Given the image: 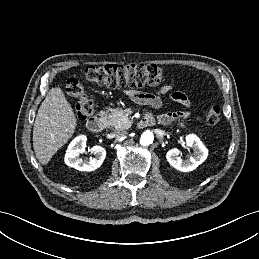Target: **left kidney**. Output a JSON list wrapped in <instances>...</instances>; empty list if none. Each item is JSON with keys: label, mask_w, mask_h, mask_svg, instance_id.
I'll return each instance as SVG.
<instances>
[{"label": "left kidney", "mask_w": 259, "mask_h": 259, "mask_svg": "<svg viewBox=\"0 0 259 259\" xmlns=\"http://www.w3.org/2000/svg\"><path fill=\"white\" fill-rule=\"evenodd\" d=\"M186 145L193 149L194 154L187 160H183L177 148L170 149L166 154V159L169 164L181 172H189L196 169L202 164L208 156V150L203 145L201 140L194 134L186 136Z\"/></svg>", "instance_id": "left-kidney-1"}]
</instances>
